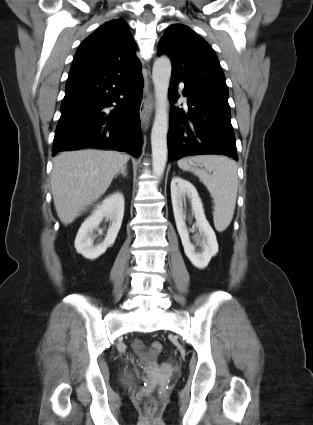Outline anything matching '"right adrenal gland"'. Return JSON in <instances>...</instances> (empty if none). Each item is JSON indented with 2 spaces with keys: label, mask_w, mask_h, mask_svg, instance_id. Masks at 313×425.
Segmentation results:
<instances>
[{
  "label": "right adrenal gland",
  "mask_w": 313,
  "mask_h": 425,
  "mask_svg": "<svg viewBox=\"0 0 313 425\" xmlns=\"http://www.w3.org/2000/svg\"><path fill=\"white\" fill-rule=\"evenodd\" d=\"M120 174H122L123 177L127 176V166H123L121 170L116 174L115 178H117Z\"/></svg>",
  "instance_id": "obj_1"
}]
</instances>
